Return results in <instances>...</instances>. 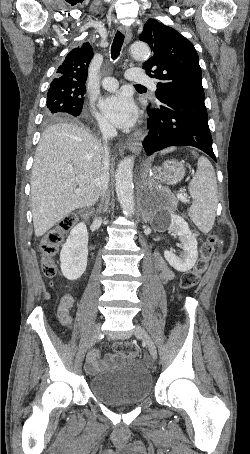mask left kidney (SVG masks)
<instances>
[{
  "mask_svg": "<svg viewBox=\"0 0 250 454\" xmlns=\"http://www.w3.org/2000/svg\"><path fill=\"white\" fill-rule=\"evenodd\" d=\"M169 229L175 232L183 245V252L177 256L172 250H165L164 257L179 272L190 270L198 257L196 236L191 232L187 222L179 215L170 213Z\"/></svg>",
  "mask_w": 250,
  "mask_h": 454,
  "instance_id": "obj_1",
  "label": "left kidney"
}]
</instances>
